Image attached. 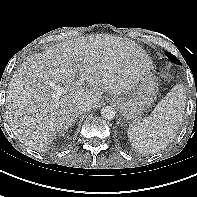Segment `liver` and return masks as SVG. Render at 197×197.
Wrapping results in <instances>:
<instances>
[{
    "instance_id": "6515ba94",
    "label": "liver",
    "mask_w": 197,
    "mask_h": 197,
    "mask_svg": "<svg viewBox=\"0 0 197 197\" xmlns=\"http://www.w3.org/2000/svg\"><path fill=\"white\" fill-rule=\"evenodd\" d=\"M150 68L148 54L122 37L97 34L53 45L14 73L6 95V119L22 144L46 151L57 133L63 136L75 123L78 101L90 99L95 107L104 92L127 94ZM50 81L64 84L66 93L53 98Z\"/></svg>"
}]
</instances>
